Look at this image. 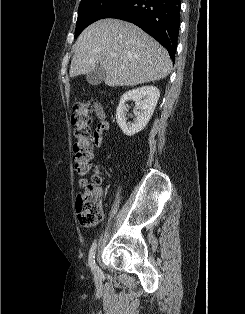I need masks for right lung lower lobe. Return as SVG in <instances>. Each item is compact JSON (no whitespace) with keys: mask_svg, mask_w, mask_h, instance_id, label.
Returning <instances> with one entry per match:
<instances>
[{"mask_svg":"<svg viewBox=\"0 0 245 314\" xmlns=\"http://www.w3.org/2000/svg\"><path fill=\"white\" fill-rule=\"evenodd\" d=\"M180 4V0H128L103 18H117L137 25L163 45L174 60Z\"/></svg>","mask_w":245,"mask_h":314,"instance_id":"1","label":"right lung lower lobe"}]
</instances>
